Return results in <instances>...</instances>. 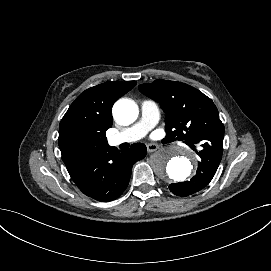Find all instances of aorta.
<instances>
[{"label": "aorta", "instance_id": "1", "mask_svg": "<svg viewBox=\"0 0 271 271\" xmlns=\"http://www.w3.org/2000/svg\"><path fill=\"white\" fill-rule=\"evenodd\" d=\"M138 106L135 102L122 99L113 106L115 120L121 124H131L138 117ZM180 150L172 147L160 149L151 156V167L162 179L179 182L190 176L193 165L188 155H179Z\"/></svg>", "mask_w": 271, "mask_h": 271}]
</instances>
